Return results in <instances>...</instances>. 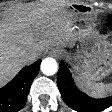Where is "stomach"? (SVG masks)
I'll return each instance as SVG.
<instances>
[{
    "label": "stomach",
    "mask_w": 112,
    "mask_h": 112,
    "mask_svg": "<svg viewBox=\"0 0 112 112\" xmlns=\"http://www.w3.org/2000/svg\"><path fill=\"white\" fill-rule=\"evenodd\" d=\"M73 15L83 14L90 10L84 4L72 3L68 5ZM88 8V9H87ZM112 70V51L106 43L98 44L91 53L87 54L79 66L81 78L87 84L101 80Z\"/></svg>",
    "instance_id": "0dacf381"
}]
</instances>
